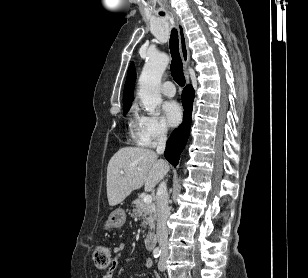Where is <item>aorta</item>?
<instances>
[{
    "instance_id": "aorta-1",
    "label": "aorta",
    "mask_w": 308,
    "mask_h": 278,
    "mask_svg": "<svg viewBox=\"0 0 308 278\" xmlns=\"http://www.w3.org/2000/svg\"><path fill=\"white\" fill-rule=\"evenodd\" d=\"M169 63V57L164 53L149 55L139 78L138 96L145 109L154 113L161 103L160 84L162 75Z\"/></svg>"
}]
</instances>
